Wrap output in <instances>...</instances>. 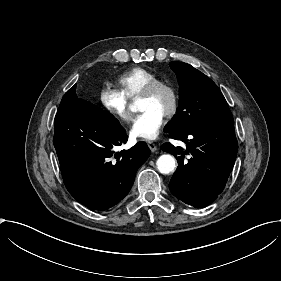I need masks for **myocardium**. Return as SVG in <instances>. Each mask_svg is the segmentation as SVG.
I'll list each match as a JSON object with an SVG mask.
<instances>
[{
    "label": "myocardium",
    "instance_id": "obj_1",
    "mask_svg": "<svg viewBox=\"0 0 281 281\" xmlns=\"http://www.w3.org/2000/svg\"><path fill=\"white\" fill-rule=\"evenodd\" d=\"M161 90H164L169 98V105L164 113V118L169 119L176 114L178 109V95L175 88L170 83H167L162 80H156L150 83L144 89V91L140 95V98L152 99Z\"/></svg>",
    "mask_w": 281,
    "mask_h": 281
}]
</instances>
